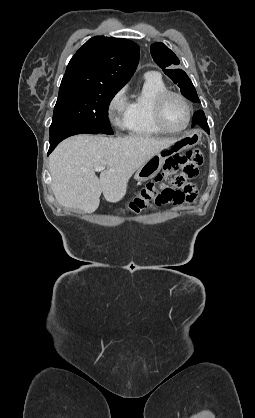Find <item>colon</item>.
I'll return each instance as SVG.
<instances>
[{"instance_id": "5ec220e1", "label": "colon", "mask_w": 255, "mask_h": 418, "mask_svg": "<svg viewBox=\"0 0 255 418\" xmlns=\"http://www.w3.org/2000/svg\"><path fill=\"white\" fill-rule=\"evenodd\" d=\"M203 163V155L199 149L189 150L182 155L169 158L162 175L147 183L140 193L130 202L128 210L139 214L154 205L174 203H193L197 200L198 191L191 183ZM171 180L176 188L166 184Z\"/></svg>"}]
</instances>
